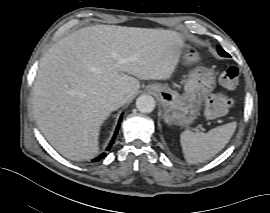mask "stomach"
<instances>
[{
	"instance_id": "0dacf381",
	"label": "stomach",
	"mask_w": 270,
	"mask_h": 213,
	"mask_svg": "<svg viewBox=\"0 0 270 213\" xmlns=\"http://www.w3.org/2000/svg\"><path fill=\"white\" fill-rule=\"evenodd\" d=\"M197 59L196 50L184 44L181 60L190 64ZM215 85L216 77L213 71L198 67L189 74L182 95L165 84L154 83L148 88L158 95L166 123L188 126L197 119L202 102L210 95Z\"/></svg>"
}]
</instances>
